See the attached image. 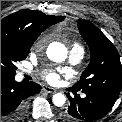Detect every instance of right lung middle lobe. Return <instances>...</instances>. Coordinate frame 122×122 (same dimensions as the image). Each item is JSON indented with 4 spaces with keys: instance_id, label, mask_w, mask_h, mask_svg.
I'll return each mask as SVG.
<instances>
[{
    "instance_id": "obj_1",
    "label": "right lung middle lobe",
    "mask_w": 122,
    "mask_h": 122,
    "mask_svg": "<svg viewBox=\"0 0 122 122\" xmlns=\"http://www.w3.org/2000/svg\"><path fill=\"white\" fill-rule=\"evenodd\" d=\"M32 46L18 39L1 37V73L15 76L16 62L24 60Z\"/></svg>"
}]
</instances>
